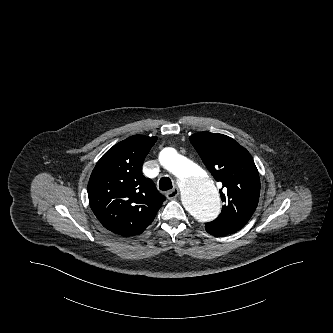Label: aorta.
Masks as SVG:
<instances>
[{"instance_id":"aorta-1","label":"aorta","mask_w":333,"mask_h":333,"mask_svg":"<svg viewBox=\"0 0 333 333\" xmlns=\"http://www.w3.org/2000/svg\"><path fill=\"white\" fill-rule=\"evenodd\" d=\"M159 160L178 178L184 208L198 221L215 219L221 206L219 192L211 176L173 148H164Z\"/></svg>"}]
</instances>
